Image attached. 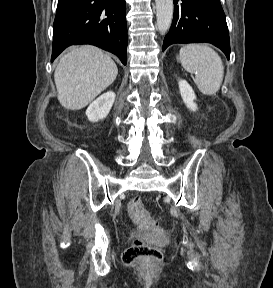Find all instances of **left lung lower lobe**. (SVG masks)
<instances>
[{
    "mask_svg": "<svg viewBox=\"0 0 273 288\" xmlns=\"http://www.w3.org/2000/svg\"><path fill=\"white\" fill-rule=\"evenodd\" d=\"M172 26L163 51L174 43L208 42L230 57L229 32L220 0H173Z\"/></svg>",
    "mask_w": 273,
    "mask_h": 288,
    "instance_id": "1",
    "label": "left lung lower lobe"
}]
</instances>
